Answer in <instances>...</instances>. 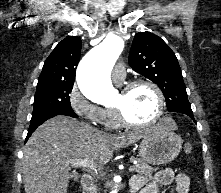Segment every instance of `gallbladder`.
Listing matches in <instances>:
<instances>
[{
  "instance_id": "1",
  "label": "gallbladder",
  "mask_w": 221,
  "mask_h": 193,
  "mask_svg": "<svg viewBox=\"0 0 221 193\" xmlns=\"http://www.w3.org/2000/svg\"><path fill=\"white\" fill-rule=\"evenodd\" d=\"M71 177H76V174H72Z\"/></svg>"
}]
</instances>
